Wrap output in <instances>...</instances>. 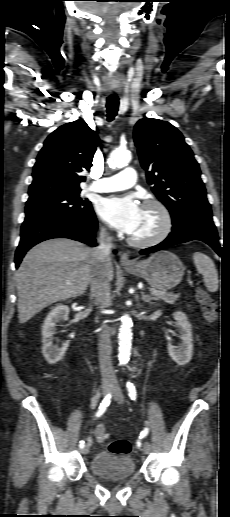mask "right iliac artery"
Instances as JSON below:
<instances>
[{
    "label": "right iliac artery",
    "mask_w": 230,
    "mask_h": 517,
    "mask_svg": "<svg viewBox=\"0 0 230 517\" xmlns=\"http://www.w3.org/2000/svg\"><path fill=\"white\" fill-rule=\"evenodd\" d=\"M111 397H112V395L110 393L105 396V398L103 399V401L101 402V404L98 408L96 417H100L101 415H103V413L106 411L107 407L109 406V404L111 402ZM84 446H85V442L80 441L79 447L82 449Z\"/></svg>",
    "instance_id": "obj_1"
}]
</instances>
